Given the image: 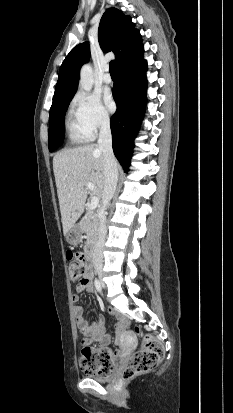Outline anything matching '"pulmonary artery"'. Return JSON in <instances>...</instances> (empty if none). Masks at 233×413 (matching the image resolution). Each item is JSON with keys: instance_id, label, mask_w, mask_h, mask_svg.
I'll return each mask as SVG.
<instances>
[{"instance_id": "obj_1", "label": "pulmonary artery", "mask_w": 233, "mask_h": 413, "mask_svg": "<svg viewBox=\"0 0 233 413\" xmlns=\"http://www.w3.org/2000/svg\"><path fill=\"white\" fill-rule=\"evenodd\" d=\"M103 81H104V83H106V84L112 83V77H111V75H110V73H109V69H108V68L105 69V73H104V75H103Z\"/></svg>"}]
</instances>
